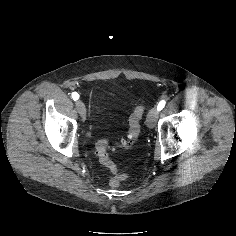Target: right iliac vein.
Wrapping results in <instances>:
<instances>
[{"mask_svg":"<svg viewBox=\"0 0 236 236\" xmlns=\"http://www.w3.org/2000/svg\"><path fill=\"white\" fill-rule=\"evenodd\" d=\"M76 108H77V111L80 114V116L82 118H85V116H86V107H85V104L81 100H78L76 102Z\"/></svg>","mask_w":236,"mask_h":236,"instance_id":"63e3f726","label":"right iliac vein"}]
</instances>
